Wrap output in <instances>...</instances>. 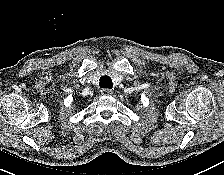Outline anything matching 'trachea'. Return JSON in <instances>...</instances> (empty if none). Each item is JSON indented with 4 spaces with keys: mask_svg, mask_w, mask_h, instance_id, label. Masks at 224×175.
Wrapping results in <instances>:
<instances>
[{
    "mask_svg": "<svg viewBox=\"0 0 224 175\" xmlns=\"http://www.w3.org/2000/svg\"><path fill=\"white\" fill-rule=\"evenodd\" d=\"M113 86L112 79L109 76H102L100 78V87L111 89Z\"/></svg>",
    "mask_w": 224,
    "mask_h": 175,
    "instance_id": "trachea-1",
    "label": "trachea"
}]
</instances>
